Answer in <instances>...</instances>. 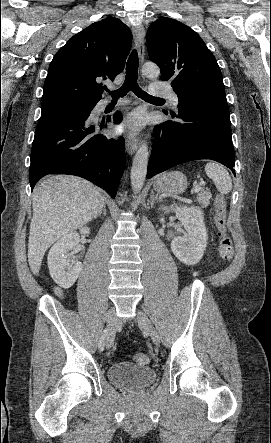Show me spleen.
I'll list each match as a JSON object with an SVG mask.
<instances>
[{"label":"spleen","mask_w":271,"mask_h":443,"mask_svg":"<svg viewBox=\"0 0 271 443\" xmlns=\"http://www.w3.org/2000/svg\"><path fill=\"white\" fill-rule=\"evenodd\" d=\"M205 172L213 180L218 192L221 194H229L232 190V180L225 168L220 166V164H215V162H209L205 166Z\"/></svg>","instance_id":"3e777b00"}]
</instances>
